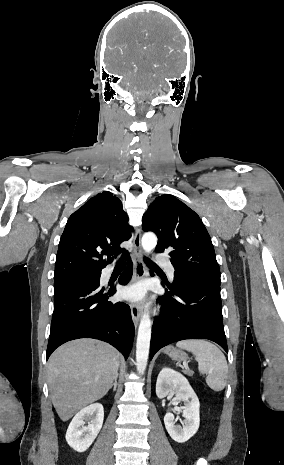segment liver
Segmentation results:
<instances>
[{
  "mask_svg": "<svg viewBox=\"0 0 284 465\" xmlns=\"http://www.w3.org/2000/svg\"><path fill=\"white\" fill-rule=\"evenodd\" d=\"M119 359L114 347L91 339L71 341L54 351L48 361V383L61 421H69L80 409L108 393Z\"/></svg>",
  "mask_w": 284,
  "mask_h": 465,
  "instance_id": "obj_1",
  "label": "liver"
}]
</instances>
